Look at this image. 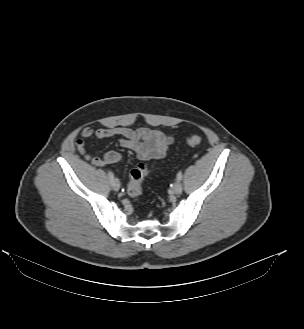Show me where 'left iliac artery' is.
<instances>
[{"label":"left iliac artery","mask_w":304,"mask_h":329,"mask_svg":"<svg viewBox=\"0 0 304 329\" xmlns=\"http://www.w3.org/2000/svg\"><path fill=\"white\" fill-rule=\"evenodd\" d=\"M177 180H178V181H181V180H182V172H181V171H179V172L177 173Z\"/></svg>","instance_id":"44dca946"}]
</instances>
